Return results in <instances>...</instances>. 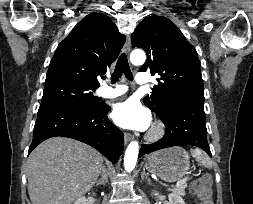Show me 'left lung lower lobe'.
Wrapping results in <instances>:
<instances>
[{
	"label": "left lung lower lobe",
	"mask_w": 253,
	"mask_h": 204,
	"mask_svg": "<svg viewBox=\"0 0 253 204\" xmlns=\"http://www.w3.org/2000/svg\"><path fill=\"white\" fill-rule=\"evenodd\" d=\"M166 127L165 136L156 143L141 146L139 157L167 147L193 145L211 156L207 142V129L203 103H191L174 109L161 118Z\"/></svg>",
	"instance_id": "0a47b994"
}]
</instances>
